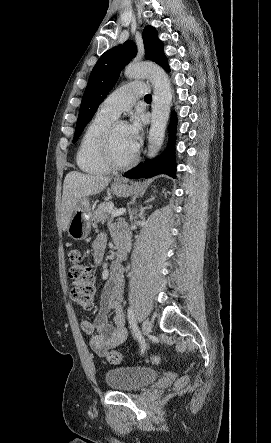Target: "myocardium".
Instances as JSON below:
<instances>
[{
  "label": "myocardium",
  "mask_w": 271,
  "mask_h": 443,
  "mask_svg": "<svg viewBox=\"0 0 271 443\" xmlns=\"http://www.w3.org/2000/svg\"><path fill=\"white\" fill-rule=\"evenodd\" d=\"M119 124H124L122 121L114 120L111 122V124L108 126L103 142H102V154L105 162L107 165L114 170H124L126 168H129L132 166L138 158V154L135 153L132 158H130L127 161L120 162L117 160L114 154L113 149V137H114V131Z\"/></svg>",
  "instance_id": "obj_1"
}]
</instances>
